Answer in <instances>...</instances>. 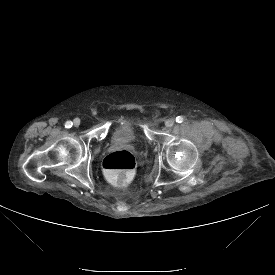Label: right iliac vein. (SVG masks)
Returning a JSON list of instances; mask_svg holds the SVG:
<instances>
[{"label": "right iliac vein", "instance_id": "1", "mask_svg": "<svg viewBox=\"0 0 275 275\" xmlns=\"http://www.w3.org/2000/svg\"><path fill=\"white\" fill-rule=\"evenodd\" d=\"M73 123H74L75 127H78L80 125V119L79 118H75L74 121H73Z\"/></svg>", "mask_w": 275, "mask_h": 275}]
</instances>
